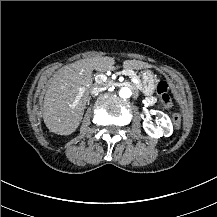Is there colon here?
Here are the masks:
<instances>
[{"label": "colon", "mask_w": 217, "mask_h": 217, "mask_svg": "<svg viewBox=\"0 0 217 217\" xmlns=\"http://www.w3.org/2000/svg\"><path fill=\"white\" fill-rule=\"evenodd\" d=\"M157 93H158L161 105L165 108H169L172 104V100H171V96L169 93V87L166 81L161 80L158 82ZM173 122L177 129H180L182 127V118L180 115H174Z\"/></svg>", "instance_id": "colon-1"}]
</instances>
